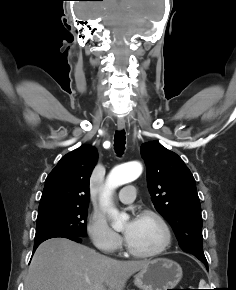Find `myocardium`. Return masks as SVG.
I'll return each mask as SVG.
<instances>
[{
  "label": "myocardium",
  "instance_id": "obj_1",
  "mask_svg": "<svg viewBox=\"0 0 236 290\" xmlns=\"http://www.w3.org/2000/svg\"><path fill=\"white\" fill-rule=\"evenodd\" d=\"M139 217H150L153 218L161 227L162 232H163V241L162 243L154 250L151 251H139L134 249L126 240L125 246L127 252L137 258H153L161 255L164 251H166L172 241V233L171 229L165 220V218L158 213L157 211L151 210V209H145L142 210L139 213Z\"/></svg>",
  "mask_w": 236,
  "mask_h": 290
}]
</instances>
